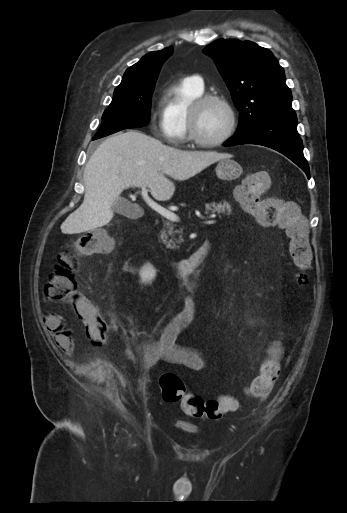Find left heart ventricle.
<instances>
[{
	"label": "left heart ventricle",
	"instance_id": "obj_1",
	"mask_svg": "<svg viewBox=\"0 0 347 513\" xmlns=\"http://www.w3.org/2000/svg\"><path fill=\"white\" fill-rule=\"evenodd\" d=\"M196 121L199 135L205 140H215L226 131L229 117L221 104L210 102L199 110Z\"/></svg>",
	"mask_w": 347,
	"mask_h": 513
}]
</instances>
